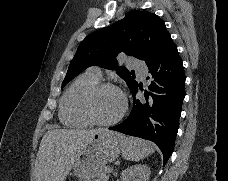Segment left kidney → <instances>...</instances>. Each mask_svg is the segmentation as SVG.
Masks as SVG:
<instances>
[{
    "instance_id": "1",
    "label": "left kidney",
    "mask_w": 228,
    "mask_h": 181,
    "mask_svg": "<svg viewBox=\"0 0 228 181\" xmlns=\"http://www.w3.org/2000/svg\"><path fill=\"white\" fill-rule=\"evenodd\" d=\"M150 175L147 165H132L123 171L120 181H150Z\"/></svg>"
}]
</instances>
